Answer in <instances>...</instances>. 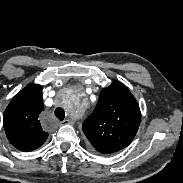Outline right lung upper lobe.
I'll return each instance as SVG.
<instances>
[{
  "label": "right lung upper lobe",
  "instance_id": "right-lung-upper-lobe-1",
  "mask_svg": "<svg viewBox=\"0 0 183 183\" xmlns=\"http://www.w3.org/2000/svg\"><path fill=\"white\" fill-rule=\"evenodd\" d=\"M42 89L31 84L13 97L4 112V129L10 143L27 152L40 147L48 138L42 130L39 114L43 110Z\"/></svg>",
  "mask_w": 183,
  "mask_h": 183
}]
</instances>
